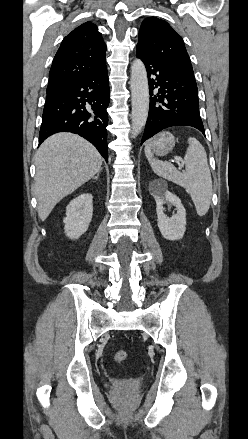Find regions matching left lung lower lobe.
<instances>
[{
  "mask_svg": "<svg viewBox=\"0 0 248 439\" xmlns=\"http://www.w3.org/2000/svg\"><path fill=\"white\" fill-rule=\"evenodd\" d=\"M145 64L150 92V108L141 144L172 126H191L204 135L199 113L198 89L194 75L164 64L136 48Z\"/></svg>",
  "mask_w": 248,
  "mask_h": 439,
  "instance_id": "obj_1",
  "label": "left lung lower lobe"
}]
</instances>
